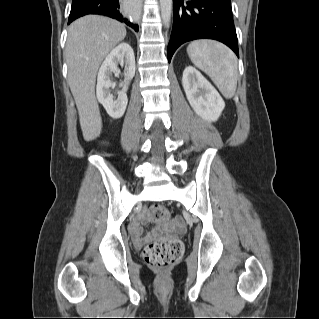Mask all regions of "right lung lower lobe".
Listing matches in <instances>:
<instances>
[{"mask_svg":"<svg viewBox=\"0 0 319 319\" xmlns=\"http://www.w3.org/2000/svg\"><path fill=\"white\" fill-rule=\"evenodd\" d=\"M119 8V0H72L68 24L84 15L98 14L124 22L135 31H138L139 27L124 18L120 14Z\"/></svg>","mask_w":319,"mask_h":319,"instance_id":"obj_1","label":"right lung lower lobe"}]
</instances>
